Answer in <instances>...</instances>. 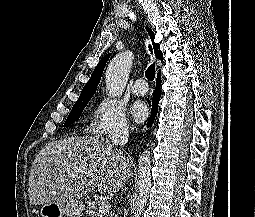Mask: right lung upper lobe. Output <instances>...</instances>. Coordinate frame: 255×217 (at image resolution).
<instances>
[{
	"mask_svg": "<svg viewBox=\"0 0 255 217\" xmlns=\"http://www.w3.org/2000/svg\"><path fill=\"white\" fill-rule=\"evenodd\" d=\"M152 44H153V48H154V52L157 58L161 59V61L163 60V55L162 52L160 50V45L154 42V33L152 32V30L149 27H146ZM110 54L105 55L101 61L98 63V65L96 66L95 70L93 71L91 78L89 79V81L87 82V84L84 86V88L81 91V95L83 94H87V93H93L96 90L97 85L100 82L104 67L106 65L107 60L109 59Z\"/></svg>",
	"mask_w": 255,
	"mask_h": 217,
	"instance_id": "obj_1",
	"label": "right lung upper lobe"
}]
</instances>
